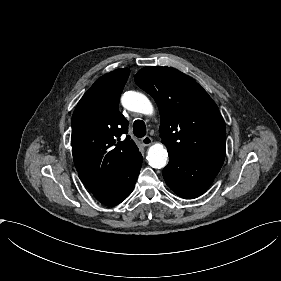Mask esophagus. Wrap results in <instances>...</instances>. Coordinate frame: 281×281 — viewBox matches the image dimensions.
<instances>
[{
    "mask_svg": "<svg viewBox=\"0 0 281 281\" xmlns=\"http://www.w3.org/2000/svg\"><path fill=\"white\" fill-rule=\"evenodd\" d=\"M141 142H142V144H143L144 146H149V145H151V144L153 143V140H152L151 137L145 136V137H143V138L141 139Z\"/></svg>",
    "mask_w": 281,
    "mask_h": 281,
    "instance_id": "esophagus-1",
    "label": "esophagus"
}]
</instances>
